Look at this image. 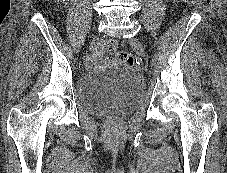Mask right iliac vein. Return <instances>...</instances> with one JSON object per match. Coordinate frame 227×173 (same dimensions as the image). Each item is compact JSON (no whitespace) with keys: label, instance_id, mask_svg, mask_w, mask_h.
Here are the masks:
<instances>
[{"label":"right iliac vein","instance_id":"right-iliac-vein-1","mask_svg":"<svg viewBox=\"0 0 227 173\" xmlns=\"http://www.w3.org/2000/svg\"><path fill=\"white\" fill-rule=\"evenodd\" d=\"M99 45V38L96 36L91 42L90 49L94 50Z\"/></svg>","mask_w":227,"mask_h":173}]
</instances>
